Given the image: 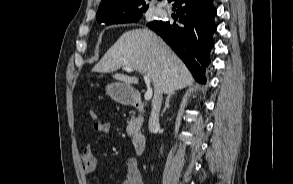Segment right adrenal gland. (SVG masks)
Returning a JSON list of instances; mask_svg holds the SVG:
<instances>
[{"label":"right adrenal gland","mask_w":293,"mask_h":184,"mask_svg":"<svg viewBox=\"0 0 293 184\" xmlns=\"http://www.w3.org/2000/svg\"><path fill=\"white\" fill-rule=\"evenodd\" d=\"M173 95H174V93L168 94V96L166 98L165 106H164L163 111L161 113V116H163V114L166 112V110L170 107V99Z\"/></svg>","instance_id":"right-adrenal-gland-1"}]
</instances>
